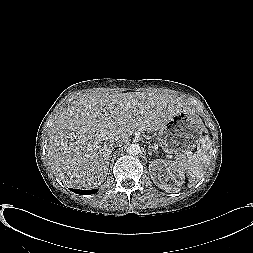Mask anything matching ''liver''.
Wrapping results in <instances>:
<instances>
[{"label": "liver", "mask_w": 253, "mask_h": 253, "mask_svg": "<svg viewBox=\"0 0 253 253\" xmlns=\"http://www.w3.org/2000/svg\"><path fill=\"white\" fill-rule=\"evenodd\" d=\"M181 112H191L190 105L168 93H117L109 89L85 93L51 126L49 164L63 183L95 188L105 179L114 138L122 144L135 129L159 131Z\"/></svg>", "instance_id": "1"}]
</instances>
